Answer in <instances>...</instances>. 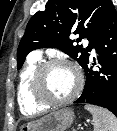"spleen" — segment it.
<instances>
[{
	"instance_id": "spleen-1",
	"label": "spleen",
	"mask_w": 117,
	"mask_h": 131,
	"mask_svg": "<svg viewBox=\"0 0 117 131\" xmlns=\"http://www.w3.org/2000/svg\"><path fill=\"white\" fill-rule=\"evenodd\" d=\"M85 109L92 114L94 131H117V118L110 111L93 105Z\"/></svg>"
}]
</instances>
